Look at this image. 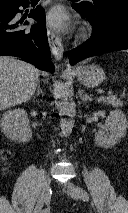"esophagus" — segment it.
Returning <instances> with one entry per match:
<instances>
[{
	"mask_svg": "<svg viewBox=\"0 0 128 213\" xmlns=\"http://www.w3.org/2000/svg\"><path fill=\"white\" fill-rule=\"evenodd\" d=\"M47 37L49 46L51 48L52 54L54 55L56 60H61L63 57V45L61 39L56 35V33L48 28L47 29Z\"/></svg>",
	"mask_w": 128,
	"mask_h": 213,
	"instance_id": "34e87169",
	"label": "esophagus"
}]
</instances>
